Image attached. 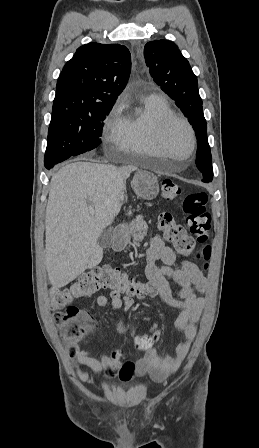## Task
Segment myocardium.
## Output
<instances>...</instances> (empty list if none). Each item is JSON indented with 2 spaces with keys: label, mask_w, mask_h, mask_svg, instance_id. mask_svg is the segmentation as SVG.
Instances as JSON below:
<instances>
[{
  "label": "myocardium",
  "mask_w": 259,
  "mask_h": 448,
  "mask_svg": "<svg viewBox=\"0 0 259 448\" xmlns=\"http://www.w3.org/2000/svg\"><path fill=\"white\" fill-rule=\"evenodd\" d=\"M175 122L182 123L183 125H185V127L189 131L190 138H191V149H190L189 161H194L196 159V146H197L196 132H195V129H194L193 125L191 124V122L183 115L173 113L169 116L162 118L159 121V123L157 125V129H156V137H155L157 147L159 149H167L166 133H167V130L169 129V127ZM159 171H163V170H159Z\"/></svg>",
  "instance_id": "obj_1"
}]
</instances>
